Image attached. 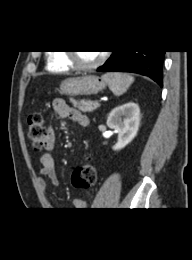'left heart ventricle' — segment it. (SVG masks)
I'll list each match as a JSON object with an SVG mask.
<instances>
[{
    "instance_id": "obj_1",
    "label": "left heart ventricle",
    "mask_w": 192,
    "mask_h": 260,
    "mask_svg": "<svg viewBox=\"0 0 192 260\" xmlns=\"http://www.w3.org/2000/svg\"><path fill=\"white\" fill-rule=\"evenodd\" d=\"M101 53L96 51H80L77 53V58L82 64H91L95 62Z\"/></svg>"
}]
</instances>
